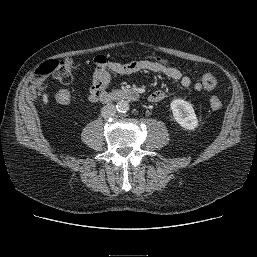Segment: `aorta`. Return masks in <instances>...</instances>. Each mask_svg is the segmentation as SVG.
I'll return each mask as SVG.
<instances>
[{"instance_id":"762f6f07","label":"aorta","mask_w":257,"mask_h":257,"mask_svg":"<svg viewBox=\"0 0 257 257\" xmlns=\"http://www.w3.org/2000/svg\"><path fill=\"white\" fill-rule=\"evenodd\" d=\"M116 109L119 113H126L129 110V103L125 100L117 102Z\"/></svg>"}]
</instances>
